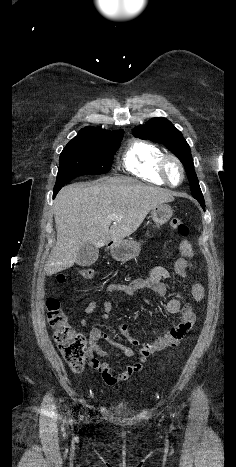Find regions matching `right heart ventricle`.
I'll list each match as a JSON object with an SVG mask.
<instances>
[{"label": "right heart ventricle", "mask_w": 236, "mask_h": 467, "mask_svg": "<svg viewBox=\"0 0 236 467\" xmlns=\"http://www.w3.org/2000/svg\"><path fill=\"white\" fill-rule=\"evenodd\" d=\"M164 153L156 145L145 141H133L125 150L122 168L149 183L163 185L166 182L159 174L158 166Z\"/></svg>", "instance_id": "1"}]
</instances>
